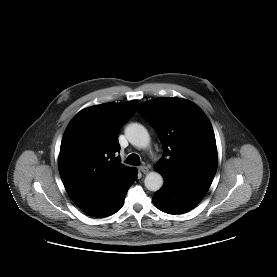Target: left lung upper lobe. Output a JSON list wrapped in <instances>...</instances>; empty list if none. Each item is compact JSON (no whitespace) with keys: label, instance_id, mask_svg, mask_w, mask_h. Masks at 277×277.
Listing matches in <instances>:
<instances>
[{"label":"left lung upper lobe","instance_id":"left-lung-upper-lobe-1","mask_svg":"<svg viewBox=\"0 0 277 277\" xmlns=\"http://www.w3.org/2000/svg\"><path fill=\"white\" fill-rule=\"evenodd\" d=\"M138 111L163 144V157L156 163L163 178L210 187L217 170V148L213 128L203 111L179 98L151 100Z\"/></svg>","mask_w":277,"mask_h":277}]
</instances>
